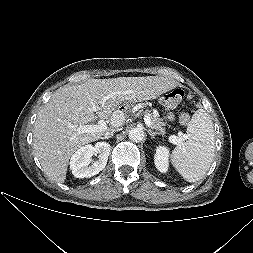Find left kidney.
<instances>
[{
    "label": "left kidney",
    "mask_w": 253,
    "mask_h": 253,
    "mask_svg": "<svg viewBox=\"0 0 253 253\" xmlns=\"http://www.w3.org/2000/svg\"><path fill=\"white\" fill-rule=\"evenodd\" d=\"M154 163L156 168L161 173H166L169 167V150L167 147L159 146L156 149V154L154 156Z\"/></svg>",
    "instance_id": "5707ae66"
}]
</instances>
